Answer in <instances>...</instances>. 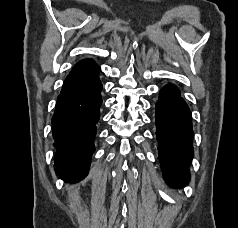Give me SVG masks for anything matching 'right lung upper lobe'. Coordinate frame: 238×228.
<instances>
[{"mask_svg":"<svg viewBox=\"0 0 238 228\" xmlns=\"http://www.w3.org/2000/svg\"><path fill=\"white\" fill-rule=\"evenodd\" d=\"M100 71L99 66L91 59L78 62L64 81V84L90 79Z\"/></svg>","mask_w":238,"mask_h":228,"instance_id":"right-lung-upper-lobe-1","label":"right lung upper lobe"}]
</instances>
